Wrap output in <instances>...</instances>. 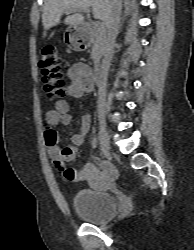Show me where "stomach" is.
Listing matches in <instances>:
<instances>
[{"label": "stomach", "mask_w": 194, "mask_h": 250, "mask_svg": "<svg viewBox=\"0 0 194 250\" xmlns=\"http://www.w3.org/2000/svg\"><path fill=\"white\" fill-rule=\"evenodd\" d=\"M64 38L71 44L73 49L76 51L83 50L86 47V45L80 43L79 41V40H82L83 42L86 41L85 29L81 24L74 25L73 29H68L67 34L65 35Z\"/></svg>", "instance_id": "obj_1"}]
</instances>
